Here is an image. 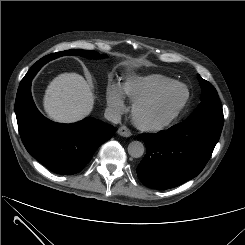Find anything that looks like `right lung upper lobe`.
Segmentation results:
<instances>
[{
  "label": "right lung upper lobe",
  "instance_id": "right-lung-upper-lobe-1",
  "mask_svg": "<svg viewBox=\"0 0 245 245\" xmlns=\"http://www.w3.org/2000/svg\"><path fill=\"white\" fill-rule=\"evenodd\" d=\"M45 59H42V61H44ZM44 65V64H43ZM43 65H39V64H34L31 69L27 72V74L25 75V77L23 78V80L20 83V86L24 85L25 83H27L29 80H32V78L35 76V74L39 71V69L43 66Z\"/></svg>",
  "mask_w": 245,
  "mask_h": 245
}]
</instances>
